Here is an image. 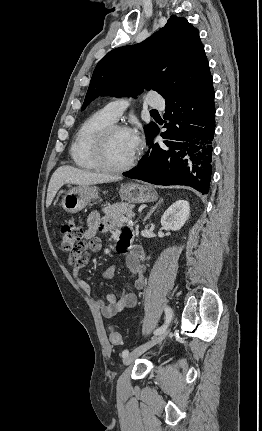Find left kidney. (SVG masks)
Instances as JSON below:
<instances>
[{
	"instance_id": "1",
	"label": "left kidney",
	"mask_w": 262,
	"mask_h": 431,
	"mask_svg": "<svg viewBox=\"0 0 262 431\" xmlns=\"http://www.w3.org/2000/svg\"><path fill=\"white\" fill-rule=\"evenodd\" d=\"M190 216L188 201L178 200L173 203L163 214L161 225L164 228L177 231L185 224Z\"/></svg>"
}]
</instances>
